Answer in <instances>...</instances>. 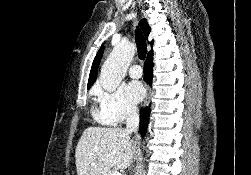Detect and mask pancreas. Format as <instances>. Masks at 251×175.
<instances>
[{"label": "pancreas", "mask_w": 251, "mask_h": 175, "mask_svg": "<svg viewBox=\"0 0 251 175\" xmlns=\"http://www.w3.org/2000/svg\"><path fill=\"white\" fill-rule=\"evenodd\" d=\"M110 171H111V169H109V171H107V169H105L103 175H110Z\"/></svg>", "instance_id": "1"}]
</instances>
